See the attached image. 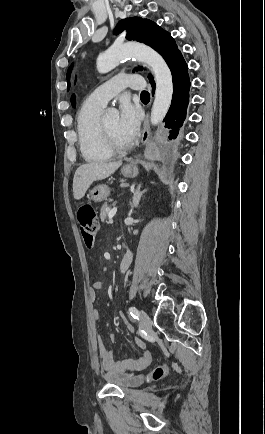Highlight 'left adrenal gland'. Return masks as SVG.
I'll list each match as a JSON object with an SVG mask.
<instances>
[{"mask_svg":"<svg viewBox=\"0 0 265 434\" xmlns=\"http://www.w3.org/2000/svg\"><path fill=\"white\" fill-rule=\"evenodd\" d=\"M141 186H142V184H139V186H137V188L135 190V194L133 196V202H132V204H130L131 210H133V208H137V206L141 200V196H143L144 192H146V190H143V192H141Z\"/></svg>","mask_w":265,"mask_h":434,"instance_id":"1","label":"left adrenal gland"}]
</instances>
